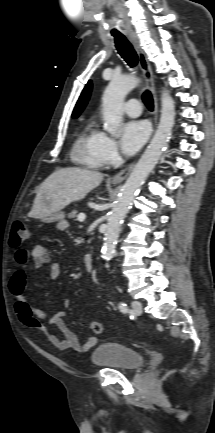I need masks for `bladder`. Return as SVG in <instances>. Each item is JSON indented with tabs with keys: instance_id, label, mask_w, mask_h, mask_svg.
<instances>
[{
	"instance_id": "obj_1",
	"label": "bladder",
	"mask_w": 215,
	"mask_h": 433,
	"mask_svg": "<svg viewBox=\"0 0 215 433\" xmlns=\"http://www.w3.org/2000/svg\"><path fill=\"white\" fill-rule=\"evenodd\" d=\"M144 357L138 351L119 343H103L91 354L95 366L133 371L144 364Z\"/></svg>"
}]
</instances>
